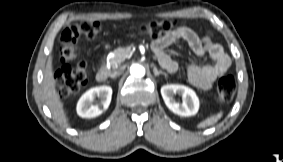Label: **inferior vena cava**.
<instances>
[{
	"mask_svg": "<svg viewBox=\"0 0 283 162\" xmlns=\"http://www.w3.org/2000/svg\"><path fill=\"white\" fill-rule=\"evenodd\" d=\"M121 73H122V71H115V72H113L110 76H111V78H116V77H118Z\"/></svg>",
	"mask_w": 283,
	"mask_h": 162,
	"instance_id": "602c4592",
	"label": "inferior vena cava"
}]
</instances>
